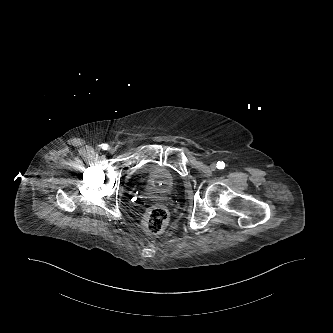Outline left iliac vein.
<instances>
[{
    "instance_id": "1",
    "label": "left iliac vein",
    "mask_w": 333,
    "mask_h": 333,
    "mask_svg": "<svg viewBox=\"0 0 333 333\" xmlns=\"http://www.w3.org/2000/svg\"><path fill=\"white\" fill-rule=\"evenodd\" d=\"M210 168H211L212 170H215V169L217 168L216 163L213 162V163L210 165Z\"/></svg>"
}]
</instances>
